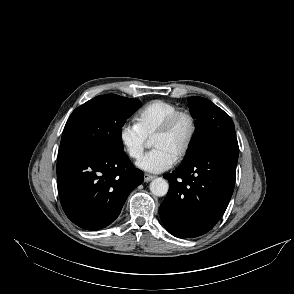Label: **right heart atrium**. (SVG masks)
<instances>
[{
  "label": "right heart atrium",
  "instance_id": "d8ad5b80",
  "mask_svg": "<svg viewBox=\"0 0 294 294\" xmlns=\"http://www.w3.org/2000/svg\"><path fill=\"white\" fill-rule=\"evenodd\" d=\"M119 141L126 154L134 160L142 157L148 138L136 123L126 122L119 130Z\"/></svg>",
  "mask_w": 294,
  "mask_h": 294
}]
</instances>
